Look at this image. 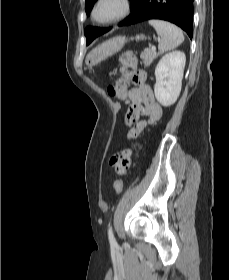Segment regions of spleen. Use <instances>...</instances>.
<instances>
[{"instance_id":"spleen-1","label":"spleen","mask_w":229,"mask_h":280,"mask_svg":"<svg viewBox=\"0 0 229 280\" xmlns=\"http://www.w3.org/2000/svg\"><path fill=\"white\" fill-rule=\"evenodd\" d=\"M149 24L154 27L159 36L158 49L160 53L172 50L178 47L184 41L183 32L172 23L152 19L149 20Z\"/></svg>"}]
</instances>
